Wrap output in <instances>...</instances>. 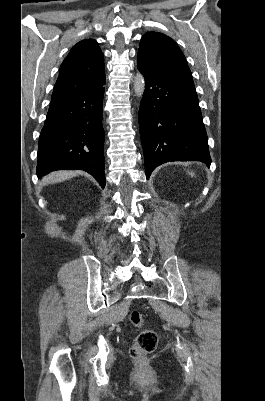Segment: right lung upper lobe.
<instances>
[{"label": "right lung upper lobe", "instance_id": "obj_1", "mask_svg": "<svg viewBox=\"0 0 265 401\" xmlns=\"http://www.w3.org/2000/svg\"><path fill=\"white\" fill-rule=\"evenodd\" d=\"M103 53L97 42H78L64 59L51 100L92 91L105 83Z\"/></svg>", "mask_w": 265, "mask_h": 401}]
</instances>
